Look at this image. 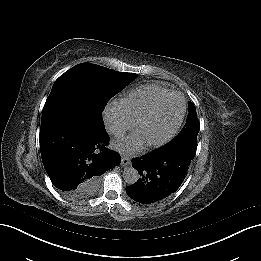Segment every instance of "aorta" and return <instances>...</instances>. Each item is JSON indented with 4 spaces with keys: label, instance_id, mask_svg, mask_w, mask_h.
I'll list each match as a JSON object with an SVG mask.
<instances>
[{
    "label": "aorta",
    "instance_id": "obj_1",
    "mask_svg": "<svg viewBox=\"0 0 261 261\" xmlns=\"http://www.w3.org/2000/svg\"><path fill=\"white\" fill-rule=\"evenodd\" d=\"M140 178V174L133 166H126L123 171V179L126 184L133 185L137 183Z\"/></svg>",
    "mask_w": 261,
    "mask_h": 261
}]
</instances>
